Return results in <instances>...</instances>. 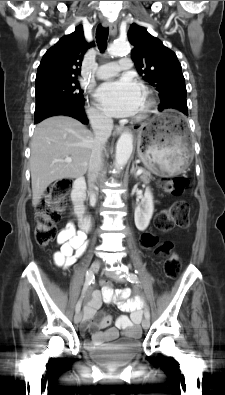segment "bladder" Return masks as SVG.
Returning <instances> with one entry per match:
<instances>
[{
	"mask_svg": "<svg viewBox=\"0 0 225 395\" xmlns=\"http://www.w3.org/2000/svg\"><path fill=\"white\" fill-rule=\"evenodd\" d=\"M141 347V342L138 339H121L113 344L94 350V354L97 358L104 362H111L122 360L130 357Z\"/></svg>",
	"mask_w": 225,
	"mask_h": 395,
	"instance_id": "1",
	"label": "bladder"
}]
</instances>
